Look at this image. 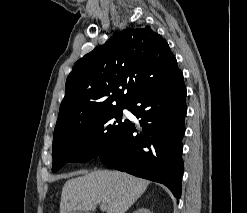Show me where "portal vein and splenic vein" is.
Instances as JSON below:
<instances>
[{
	"instance_id": "18ae733b",
	"label": "portal vein and splenic vein",
	"mask_w": 247,
	"mask_h": 213,
	"mask_svg": "<svg viewBox=\"0 0 247 213\" xmlns=\"http://www.w3.org/2000/svg\"><path fill=\"white\" fill-rule=\"evenodd\" d=\"M100 206H101V208H103V207H104V204H103V203H101V204H100Z\"/></svg>"
}]
</instances>
